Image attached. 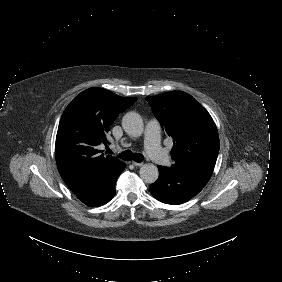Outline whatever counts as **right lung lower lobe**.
<instances>
[{
  "label": "right lung lower lobe",
  "mask_w": 282,
  "mask_h": 282,
  "mask_svg": "<svg viewBox=\"0 0 282 282\" xmlns=\"http://www.w3.org/2000/svg\"><path fill=\"white\" fill-rule=\"evenodd\" d=\"M126 164L101 173L90 179L88 184L78 191L76 196L86 205L97 207L109 202L115 195V184Z\"/></svg>",
  "instance_id": "right-lung-lower-lobe-1"
}]
</instances>
